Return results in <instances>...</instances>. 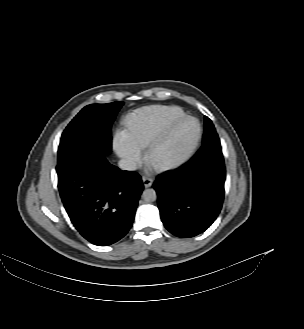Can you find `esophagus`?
Here are the masks:
<instances>
[{"label": "esophagus", "mask_w": 304, "mask_h": 329, "mask_svg": "<svg viewBox=\"0 0 304 329\" xmlns=\"http://www.w3.org/2000/svg\"><path fill=\"white\" fill-rule=\"evenodd\" d=\"M142 181L145 188L151 187L153 184V179L147 176H143Z\"/></svg>", "instance_id": "1"}]
</instances>
